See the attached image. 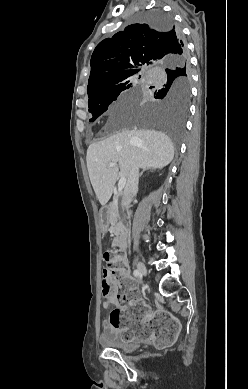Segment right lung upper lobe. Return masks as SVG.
I'll list each match as a JSON object with an SVG mask.
<instances>
[{
  "label": "right lung upper lobe",
  "instance_id": "cb5924a9",
  "mask_svg": "<svg viewBox=\"0 0 248 389\" xmlns=\"http://www.w3.org/2000/svg\"><path fill=\"white\" fill-rule=\"evenodd\" d=\"M178 41L179 31L175 27L161 30L147 24H132L112 38L104 39L91 57L88 96L121 76L139 72L144 66L156 68L171 59L188 62L185 44L182 41L178 46Z\"/></svg>",
  "mask_w": 248,
  "mask_h": 389
}]
</instances>
